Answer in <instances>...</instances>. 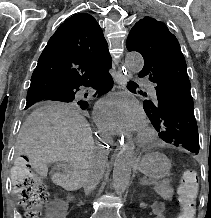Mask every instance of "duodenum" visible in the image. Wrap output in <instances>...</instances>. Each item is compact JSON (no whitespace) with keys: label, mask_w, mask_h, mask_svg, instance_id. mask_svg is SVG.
<instances>
[{"label":"duodenum","mask_w":211,"mask_h":218,"mask_svg":"<svg viewBox=\"0 0 211 218\" xmlns=\"http://www.w3.org/2000/svg\"><path fill=\"white\" fill-rule=\"evenodd\" d=\"M68 199L72 201V200H73V197H72V196H69Z\"/></svg>","instance_id":"1"}]
</instances>
